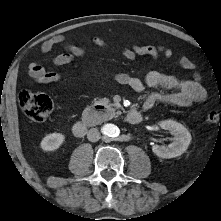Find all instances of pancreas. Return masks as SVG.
<instances>
[{
	"mask_svg": "<svg viewBox=\"0 0 221 221\" xmlns=\"http://www.w3.org/2000/svg\"><path fill=\"white\" fill-rule=\"evenodd\" d=\"M102 103L108 105L109 104V99L105 98L101 101ZM112 104L108 105V116L106 117H102V116H98L97 114H93V115H84L83 116V120L87 123V125L92 126V125H97L103 121L109 120L111 118H113L117 112L115 108H112Z\"/></svg>",
	"mask_w": 221,
	"mask_h": 221,
	"instance_id": "1",
	"label": "pancreas"
}]
</instances>
